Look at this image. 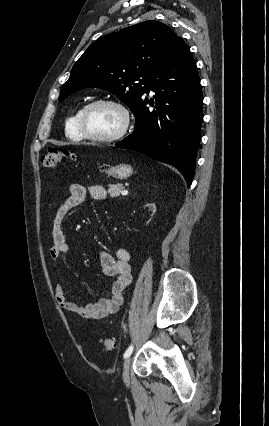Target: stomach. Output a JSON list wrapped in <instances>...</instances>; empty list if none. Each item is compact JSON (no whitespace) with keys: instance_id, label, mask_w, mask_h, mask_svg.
<instances>
[{"instance_id":"stomach-1","label":"stomach","mask_w":269,"mask_h":426,"mask_svg":"<svg viewBox=\"0 0 269 426\" xmlns=\"http://www.w3.org/2000/svg\"><path fill=\"white\" fill-rule=\"evenodd\" d=\"M105 172L108 176L118 179H126L133 174V168L128 164H119L107 169Z\"/></svg>"}]
</instances>
